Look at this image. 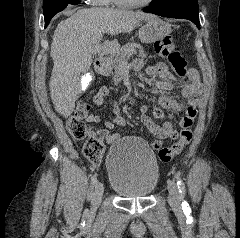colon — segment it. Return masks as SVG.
Wrapping results in <instances>:
<instances>
[{
	"label": "colon",
	"mask_w": 240,
	"mask_h": 238,
	"mask_svg": "<svg viewBox=\"0 0 240 238\" xmlns=\"http://www.w3.org/2000/svg\"><path fill=\"white\" fill-rule=\"evenodd\" d=\"M155 50L160 55L166 57L175 72L182 78L189 73L187 70V63L181 53L178 51L175 41L171 37H165L155 43ZM90 112V106L87 102L80 100L75 108L74 113L67 120V130L70 135L78 140L86 139L83 148L84 155L93 163L101 162L105 146L103 137L105 133L101 130H91L85 122L86 116ZM192 131L189 127L184 128L180 134L179 139L169 147L161 148L158 156L161 162H169L175 156L179 155L183 149L192 140Z\"/></svg>",
	"instance_id": "1"
}]
</instances>
